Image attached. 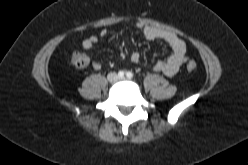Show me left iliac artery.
Wrapping results in <instances>:
<instances>
[{"mask_svg":"<svg viewBox=\"0 0 248 165\" xmlns=\"http://www.w3.org/2000/svg\"><path fill=\"white\" fill-rule=\"evenodd\" d=\"M126 76L128 77V78H132L133 77V73L132 72H130V71H128L127 73H126Z\"/></svg>","mask_w":248,"mask_h":165,"instance_id":"44dca946","label":"left iliac artery"}]
</instances>
